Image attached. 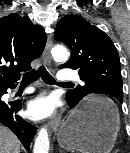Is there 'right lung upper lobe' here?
<instances>
[{
	"label": "right lung upper lobe",
	"mask_w": 130,
	"mask_h": 153,
	"mask_svg": "<svg viewBox=\"0 0 130 153\" xmlns=\"http://www.w3.org/2000/svg\"><path fill=\"white\" fill-rule=\"evenodd\" d=\"M46 40L43 28L26 16L12 13L0 18V87L15 85L20 72L31 69Z\"/></svg>",
	"instance_id": "cb5924a9"
}]
</instances>
